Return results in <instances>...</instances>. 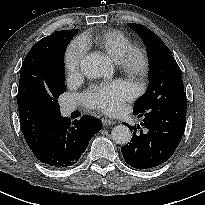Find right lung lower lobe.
Listing matches in <instances>:
<instances>
[{
	"instance_id": "obj_1",
	"label": "right lung lower lobe",
	"mask_w": 205,
	"mask_h": 205,
	"mask_svg": "<svg viewBox=\"0 0 205 205\" xmlns=\"http://www.w3.org/2000/svg\"><path fill=\"white\" fill-rule=\"evenodd\" d=\"M101 128V122L90 116L72 123L60 116L42 131L30 149L46 165L67 168L78 162L90 139Z\"/></svg>"
}]
</instances>
